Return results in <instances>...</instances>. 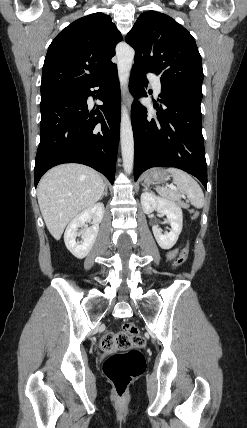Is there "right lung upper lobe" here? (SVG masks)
<instances>
[{
	"label": "right lung upper lobe",
	"mask_w": 247,
	"mask_h": 428,
	"mask_svg": "<svg viewBox=\"0 0 247 428\" xmlns=\"http://www.w3.org/2000/svg\"><path fill=\"white\" fill-rule=\"evenodd\" d=\"M122 36L111 17L101 12L82 17L50 44L43 65L41 94L82 90L112 67Z\"/></svg>",
	"instance_id": "right-lung-upper-lobe-1"
}]
</instances>
